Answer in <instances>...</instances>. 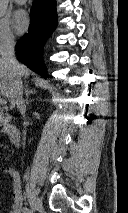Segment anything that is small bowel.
<instances>
[{"label": "small bowel", "mask_w": 128, "mask_h": 213, "mask_svg": "<svg viewBox=\"0 0 128 213\" xmlns=\"http://www.w3.org/2000/svg\"><path fill=\"white\" fill-rule=\"evenodd\" d=\"M4 171L9 176L12 186L10 213H21L23 211V194L19 172L13 167H7Z\"/></svg>", "instance_id": "c3829d8e"}]
</instances>
